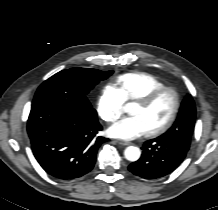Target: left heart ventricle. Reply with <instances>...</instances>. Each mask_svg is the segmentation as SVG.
<instances>
[{
  "mask_svg": "<svg viewBox=\"0 0 218 210\" xmlns=\"http://www.w3.org/2000/svg\"><path fill=\"white\" fill-rule=\"evenodd\" d=\"M173 108V97L166 93L158 98L151 106L144 107L136 104L131 114L142 118L148 131L161 126L169 117Z\"/></svg>",
  "mask_w": 218,
  "mask_h": 210,
  "instance_id": "left-heart-ventricle-1",
  "label": "left heart ventricle"
}]
</instances>
